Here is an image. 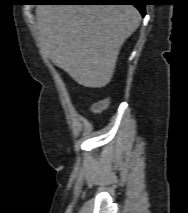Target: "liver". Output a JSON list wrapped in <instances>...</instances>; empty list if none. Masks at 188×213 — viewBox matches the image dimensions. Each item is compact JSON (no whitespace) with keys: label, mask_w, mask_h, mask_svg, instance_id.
<instances>
[{"label":"liver","mask_w":188,"mask_h":213,"mask_svg":"<svg viewBox=\"0 0 188 213\" xmlns=\"http://www.w3.org/2000/svg\"><path fill=\"white\" fill-rule=\"evenodd\" d=\"M43 49L78 84L106 86L125 40L139 27L133 5H38Z\"/></svg>","instance_id":"obj_1"}]
</instances>
